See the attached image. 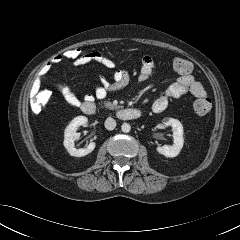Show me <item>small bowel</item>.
<instances>
[{
  "mask_svg": "<svg viewBox=\"0 0 240 240\" xmlns=\"http://www.w3.org/2000/svg\"><path fill=\"white\" fill-rule=\"evenodd\" d=\"M63 61L61 54L53 56L47 63H45L42 68L38 71L31 89V96L38 94L42 82L46 80L48 74L54 65L59 64ZM97 62L103 65L106 68L113 69L115 68V62L100 53L99 51H90L85 54L83 58V65ZM154 69V60L150 56H145L142 59V66L138 76L139 81L145 82L150 79ZM112 80L110 81L105 76H99V83L95 86L94 95L87 94L85 96L86 101H92L94 97L97 99H103L107 96L108 93L118 91L122 89L129 80V74L126 70L120 69L115 70L111 75ZM55 87L62 93L67 103L73 107H80L81 101L74 94V92L66 85L56 83ZM45 93L48 94L47 91ZM191 93L196 98H207V92L204 89L203 85L198 82L190 74H181L172 84H170L166 90L160 94L152 103V111L155 113L163 112L171 99H178L183 95Z\"/></svg>",
  "mask_w": 240,
  "mask_h": 240,
  "instance_id": "small-bowel-1",
  "label": "small bowel"
}]
</instances>
